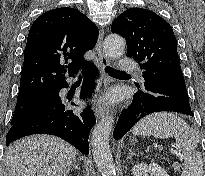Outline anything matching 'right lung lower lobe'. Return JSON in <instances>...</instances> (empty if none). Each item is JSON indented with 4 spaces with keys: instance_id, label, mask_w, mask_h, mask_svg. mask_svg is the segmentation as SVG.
Listing matches in <instances>:
<instances>
[{
    "instance_id": "obj_1",
    "label": "right lung lower lobe",
    "mask_w": 205,
    "mask_h": 176,
    "mask_svg": "<svg viewBox=\"0 0 205 176\" xmlns=\"http://www.w3.org/2000/svg\"><path fill=\"white\" fill-rule=\"evenodd\" d=\"M83 73L84 81L80 96L84 98L93 92V78L97 73V68L90 63L84 68ZM65 87L67 84L63 83L51 96L13 124L7 134L6 145L27 135L50 134L66 140L81 153L87 155L89 153V132L95 125L96 119L90 106L81 114L65 109L66 100L59 97V91Z\"/></svg>"
}]
</instances>
